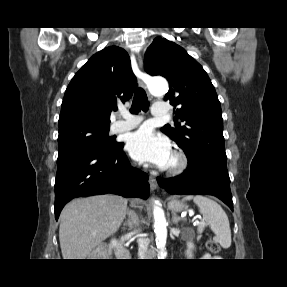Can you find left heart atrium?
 <instances>
[{"instance_id": "39dd6f15", "label": "left heart atrium", "mask_w": 287, "mask_h": 287, "mask_svg": "<svg viewBox=\"0 0 287 287\" xmlns=\"http://www.w3.org/2000/svg\"><path fill=\"white\" fill-rule=\"evenodd\" d=\"M127 149L136 161L159 167H166L172 156L169 141L147 126L129 135Z\"/></svg>"}]
</instances>
